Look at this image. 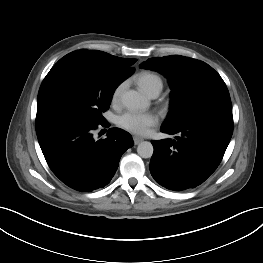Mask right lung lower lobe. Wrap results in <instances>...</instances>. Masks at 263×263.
<instances>
[{
	"instance_id": "obj_1",
	"label": "right lung lower lobe",
	"mask_w": 263,
	"mask_h": 263,
	"mask_svg": "<svg viewBox=\"0 0 263 263\" xmlns=\"http://www.w3.org/2000/svg\"><path fill=\"white\" fill-rule=\"evenodd\" d=\"M97 127L73 122H53L36 127L50 169L67 186L81 192L106 186L114 176L122 154L134 145L131 135L118 128H110L107 138L96 140L92 133Z\"/></svg>"
}]
</instances>
